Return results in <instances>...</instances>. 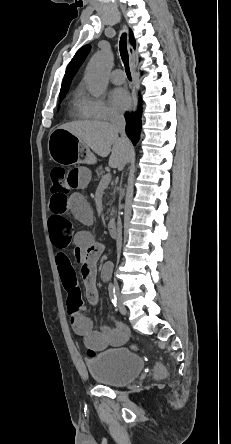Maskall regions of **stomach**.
<instances>
[{
	"instance_id": "1",
	"label": "stomach",
	"mask_w": 231,
	"mask_h": 444,
	"mask_svg": "<svg viewBox=\"0 0 231 444\" xmlns=\"http://www.w3.org/2000/svg\"><path fill=\"white\" fill-rule=\"evenodd\" d=\"M48 152L50 157L60 164L96 162L90 149L78 137L62 128H57L50 133Z\"/></svg>"
}]
</instances>
